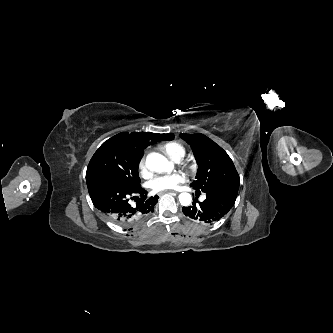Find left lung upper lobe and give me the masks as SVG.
<instances>
[{
    "instance_id": "left-lung-upper-lobe-1",
    "label": "left lung upper lobe",
    "mask_w": 333,
    "mask_h": 333,
    "mask_svg": "<svg viewBox=\"0 0 333 333\" xmlns=\"http://www.w3.org/2000/svg\"><path fill=\"white\" fill-rule=\"evenodd\" d=\"M192 148L198 164L196 180L190 185L202 192H238L240 178L228 154L203 134H180ZM226 201H220L225 203Z\"/></svg>"
}]
</instances>
